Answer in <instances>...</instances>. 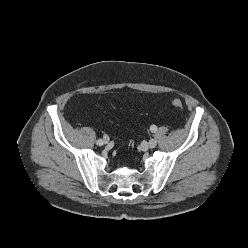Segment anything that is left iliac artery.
Instances as JSON below:
<instances>
[{
    "mask_svg": "<svg viewBox=\"0 0 248 248\" xmlns=\"http://www.w3.org/2000/svg\"><path fill=\"white\" fill-rule=\"evenodd\" d=\"M150 130H151V132L155 133L157 131V126L151 125Z\"/></svg>",
    "mask_w": 248,
    "mask_h": 248,
    "instance_id": "obj_1",
    "label": "left iliac artery"
}]
</instances>
